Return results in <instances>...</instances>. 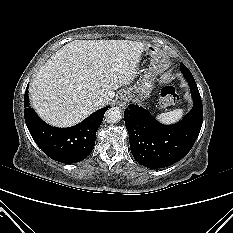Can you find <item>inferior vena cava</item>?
I'll return each mask as SVG.
<instances>
[{
  "mask_svg": "<svg viewBox=\"0 0 233 233\" xmlns=\"http://www.w3.org/2000/svg\"><path fill=\"white\" fill-rule=\"evenodd\" d=\"M103 102H104L103 97H99V96L96 97V98L94 99V101H93L94 106H96V107L102 105Z\"/></svg>",
  "mask_w": 233,
  "mask_h": 233,
  "instance_id": "1",
  "label": "inferior vena cava"
}]
</instances>
